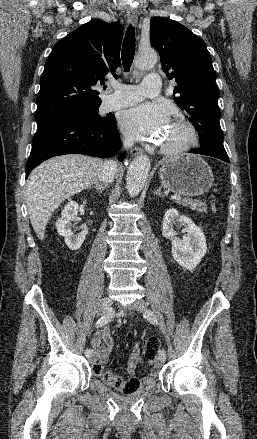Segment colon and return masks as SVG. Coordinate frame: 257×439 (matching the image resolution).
Listing matches in <instances>:
<instances>
[{"instance_id":"colon-1","label":"colon","mask_w":257,"mask_h":439,"mask_svg":"<svg viewBox=\"0 0 257 439\" xmlns=\"http://www.w3.org/2000/svg\"><path fill=\"white\" fill-rule=\"evenodd\" d=\"M159 349V341L155 337L149 338L144 347L145 356L148 359H155ZM93 373L102 378V380L113 386L114 388L120 390L124 394H131L136 392L141 387V381L138 378H122L113 372L106 370L104 366L100 363L93 364Z\"/></svg>"}]
</instances>
